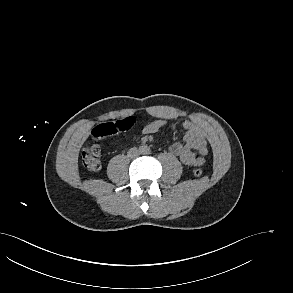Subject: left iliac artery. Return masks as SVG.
Listing matches in <instances>:
<instances>
[{
  "mask_svg": "<svg viewBox=\"0 0 293 293\" xmlns=\"http://www.w3.org/2000/svg\"><path fill=\"white\" fill-rule=\"evenodd\" d=\"M147 153H150V149L149 148L147 149Z\"/></svg>",
  "mask_w": 293,
  "mask_h": 293,
  "instance_id": "44dca946",
  "label": "left iliac artery"
}]
</instances>
